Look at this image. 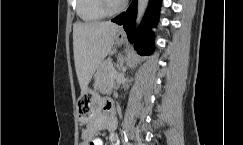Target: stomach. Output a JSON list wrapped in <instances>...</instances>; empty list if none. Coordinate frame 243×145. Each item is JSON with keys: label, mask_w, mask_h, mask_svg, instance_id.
Instances as JSON below:
<instances>
[{"label": "stomach", "mask_w": 243, "mask_h": 145, "mask_svg": "<svg viewBox=\"0 0 243 145\" xmlns=\"http://www.w3.org/2000/svg\"><path fill=\"white\" fill-rule=\"evenodd\" d=\"M124 38L122 35L118 34L116 36V43L122 44ZM103 103V98H101V94H95V91L86 90L82 93L81 97H78V112L79 119L87 123L92 120L100 111L99 106Z\"/></svg>", "instance_id": "0dacf381"}]
</instances>
